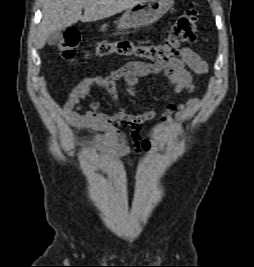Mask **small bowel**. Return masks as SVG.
Segmentation results:
<instances>
[{
	"label": "small bowel",
	"instance_id": "1",
	"mask_svg": "<svg viewBox=\"0 0 254 267\" xmlns=\"http://www.w3.org/2000/svg\"><path fill=\"white\" fill-rule=\"evenodd\" d=\"M188 69L199 75L208 71V64L190 48H183L177 57L162 63L129 62L123 67L111 71L107 76L86 77L78 82L69 93L64 104V111L71 126L95 131L91 141L93 154L103 153L112 159L129 155L131 148L126 136L121 131V128L125 126L131 127L132 138L138 149L149 150L154 145V141L141 138V126L152 120L156 116V111L150 109L139 114L128 113L119 102L117 82L123 80L127 92L134 96L135 86L141 78L161 75L166 84L172 88L173 93L190 94L197 90V84ZM94 87L104 89L111 96L116 106L113 114L104 113L97 100L91 101L90 110L80 111L81 101L91 95ZM198 105V98H191L186 102L175 104L172 95H167L163 104L161 121L166 124L171 116L185 121L194 114Z\"/></svg>",
	"mask_w": 254,
	"mask_h": 267
}]
</instances>
